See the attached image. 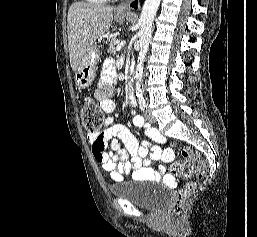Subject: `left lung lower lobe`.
Returning a JSON list of instances; mask_svg holds the SVG:
<instances>
[{
    "instance_id": "left-lung-lower-lobe-1",
    "label": "left lung lower lobe",
    "mask_w": 257,
    "mask_h": 237,
    "mask_svg": "<svg viewBox=\"0 0 257 237\" xmlns=\"http://www.w3.org/2000/svg\"><path fill=\"white\" fill-rule=\"evenodd\" d=\"M132 6H133V7H137V1L134 2V3H132Z\"/></svg>"
}]
</instances>
